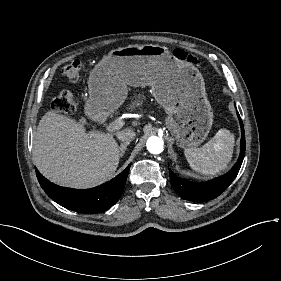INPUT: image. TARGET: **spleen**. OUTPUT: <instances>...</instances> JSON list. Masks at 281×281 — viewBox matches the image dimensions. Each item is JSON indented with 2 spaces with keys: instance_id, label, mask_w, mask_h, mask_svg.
I'll use <instances>...</instances> for the list:
<instances>
[{
  "instance_id": "spleen-1",
  "label": "spleen",
  "mask_w": 281,
  "mask_h": 281,
  "mask_svg": "<svg viewBox=\"0 0 281 281\" xmlns=\"http://www.w3.org/2000/svg\"><path fill=\"white\" fill-rule=\"evenodd\" d=\"M235 134L220 129L205 145L186 149L185 157L190 168L203 175L216 176L228 168L235 147Z\"/></svg>"
}]
</instances>
